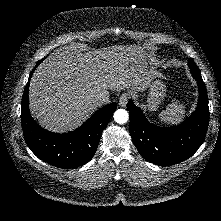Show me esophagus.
<instances>
[{
  "mask_svg": "<svg viewBox=\"0 0 221 221\" xmlns=\"http://www.w3.org/2000/svg\"><path fill=\"white\" fill-rule=\"evenodd\" d=\"M129 98H130L129 93H123L119 98V105L121 107H125L128 103Z\"/></svg>",
  "mask_w": 221,
  "mask_h": 221,
  "instance_id": "obj_1",
  "label": "esophagus"
}]
</instances>
